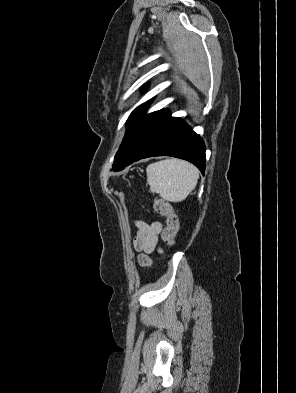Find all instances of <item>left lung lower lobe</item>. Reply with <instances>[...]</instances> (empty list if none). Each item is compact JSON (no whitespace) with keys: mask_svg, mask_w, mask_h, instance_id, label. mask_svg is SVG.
<instances>
[{"mask_svg":"<svg viewBox=\"0 0 296 393\" xmlns=\"http://www.w3.org/2000/svg\"><path fill=\"white\" fill-rule=\"evenodd\" d=\"M153 156L181 158L196 165L203 174L205 171V145L202 138L183 120L171 117L168 110H163L150 123L123 168Z\"/></svg>","mask_w":296,"mask_h":393,"instance_id":"0a47b994","label":"left lung lower lobe"}]
</instances>
